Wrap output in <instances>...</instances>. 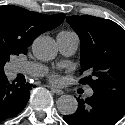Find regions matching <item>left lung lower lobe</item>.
<instances>
[{
  "mask_svg": "<svg viewBox=\"0 0 125 125\" xmlns=\"http://www.w3.org/2000/svg\"><path fill=\"white\" fill-rule=\"evenodd\" d=\"M92 97L77 99L78 109L63 119L69 125H114L125 115V90L119 88L93 89Z\"/></svg>",
  "mask_w": 125,
  "mask_h": 125,
  "instance_id": "1",
  "label": "left lung lower lobe"
}]
</instances>
